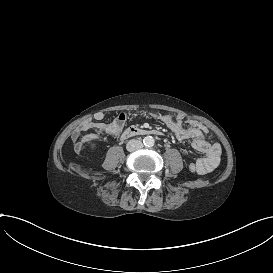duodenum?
<instances>
[{"mask_svg": "<svg viewBox=\"0 0 273 273\" xmlns=\"http://www.w3.org/2000/svg\"><path fill=\"white\" fill-rule=\"evenodd\" d=\"M144 135H153V136H160L162 135L161 131L156 129H146L140 128L136 126H131L126 128L123 133L121 134V139L125 140L135 136H144Z\"/></svg>", "mask_w": 273, "mask_h": 273, "instance_id": "1", "label": "duodenum"}]
</instances>
